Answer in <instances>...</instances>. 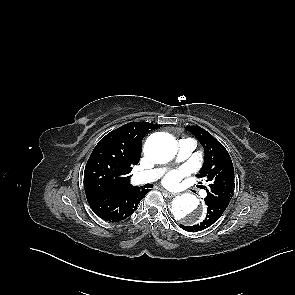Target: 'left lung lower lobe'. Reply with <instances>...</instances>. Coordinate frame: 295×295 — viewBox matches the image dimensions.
Instances as JSON below:
<instances>
[{
  "label": "left lung lower lobe",
  "instance_id": "0a47b994",
  "mask_svg": "<svg viewBox=\"0 0 295 295\" xmlns=\"http://www.w3.org/2000/svg\"><path fill=\"white\" fill-rule=\"evenodd\" d=\"M204 200L207 205V214L204 220L194 226L180 225L182 229L189 232H196L210 227L220 218L229 205L228 201L217 200L213 198H205Z\"/></svg>",
  "mask_w": 295,
  "mask_h": 295
}]
</instances>
